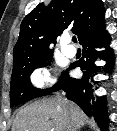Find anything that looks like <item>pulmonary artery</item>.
Instances as JSON below:
<instances>
[{"label": "pulmonary artery", "mask_w": 117, "mask_h": 131, "mask_svg": "<svg viewBox=\"0 0 117 131\" xmlns=\"http://www.w3.org/2000/svg\"><path fill=\"white\" fill-rule=\"evenodd\" d=\"M70 39L65 37L61 40V51L67 57H73L76 54V49L69 45Z\"/></svg>", "instance_id": "1"}]
</instances>
